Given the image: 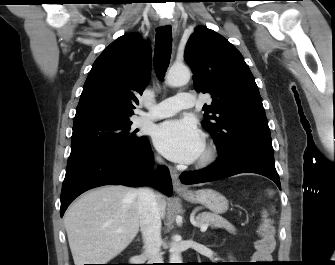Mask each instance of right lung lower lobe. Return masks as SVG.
<instances>
[{
	"instance_id": "right-lung-lower-lobe-1",
	"label": "right lung lower lobe",
	"mask_w": 335,
	"mask_h": 265,
	"mask_svg": "<svg viewBox=\"0 0 335 265\" xmlns=\"http://www.w3.org/2000/svg\"><path fill=\"white\" fill-rule=\"evenodd\" d=\"M152 152L148 139L132 151H88L68 158L61 191L60 215L83 192L103 185L154 186L172 194L169 170L151 172Z\"/></svg>"
}]
</instances>
